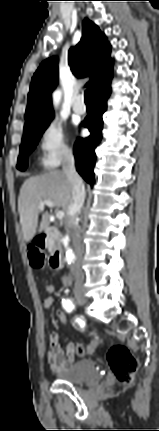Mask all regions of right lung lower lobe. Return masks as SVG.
<instances>
[{
  "label": "right lung lower lobe",
  "instance_id": "1",
  "mask_svg": "<svg viewBox=\"0 0 159 431\" xmlns=\"http://www.w3.org/2000/svg\"><path fill=\"white\" fill-rule=\"evenodd\" d=\"M111 80L95 91V111L82 122L84 127L90 131L87 138H79L74 145V155L76 159V170L84 180L93 185V168L96 162L95 148L102 138L103 119L102 115L107 109V99L111 94Z\"/></svg>",
  "mask_w": 159,
  "mask_h": 431
}]
</instances>
